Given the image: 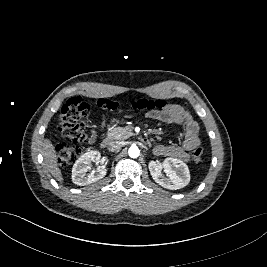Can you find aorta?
I'll return each instance as SVG.
<instances>
[{
	"instance_id": "obj_1",
	"label": "aorta",
	"mask_w": 267,
	"mask_h": 267,
	"mask_svg": "<svg viewBox=\"0 0 267 267\" xmlns=\"http://www.w3.org/2000/svg\"><path fill=\"white\" fill-rule=\"evenodd\" d=\"M128 154L131 158H138L140 155V150L137 146H131L128 150Z\"/></svg>"
}]
</instances>
